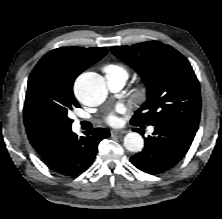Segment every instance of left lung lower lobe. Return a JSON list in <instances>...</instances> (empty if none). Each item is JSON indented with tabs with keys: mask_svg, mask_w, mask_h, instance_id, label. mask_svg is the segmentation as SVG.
Listing matches in <instances>:
<instances>
[{
	"mask_svg": "<svg viewBox=\"0 0 222 219\" xmlns=\"http://www.w3.org/2000/svg\"><path fill=\"white\" fill-rule=\"evenodd\" d=\"M154 126L153 135L145 138L142 152L130 158L138 169L149 174H158L176 165L187 153L196 133L170 122Z\"/></svg>",
	"mask_w": 222,
	"mask_h": 219,
	"instance_id": "0a47b994",
	"label": "left lung lower lobe"
}]
</instances>
